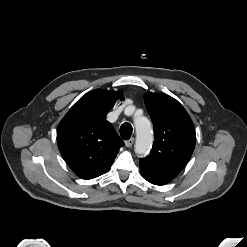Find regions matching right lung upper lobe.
I'll return each mask as SVG.
<instances>
[{"mask_svg": "<svg viewBox=\"0 0 247 247\" xmlns=\"http://www.w3.org/2000/svg\"><path fill=\"white\" fill-rule=\"evenodd\" d=\"M118 96L115 91L93 90L80 98L58 125L61 155L82 179L106 173L124 145L112 124L106 121Z\"/></svg>", "mask_w": 247, "mask_h": 247, "instance_id": "1", "label": "right lung upper lobe"}]
</instances>
